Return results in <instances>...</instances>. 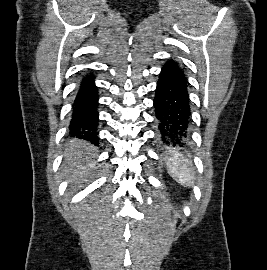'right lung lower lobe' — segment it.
<instances>
[{"instance_id":"obj_1","label":"right lung lower lobe","mask_w":267,"mask_h":270,"mask_svg":"<svg viewBox=\"0 0 267 270\" xmlns=\"http://www.w3.org/2000/svg\"><path fill=\"white\" fill-rule=\"evenodd\" d=\"M98 91L94 84V77L85 76L73 103L69 134L91 141L98 145Z\"/></svg>"}]
</instances>
